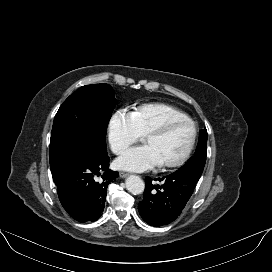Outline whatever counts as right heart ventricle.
I'll return each mask as SVG.
<instances>
[{
  "label": "right heart ventricle",
  "mask_w": 272,
  "mask_h": 272,
  "mask_svg": "<svg viewBox=\"0 0 272 272\" xmlns=\"http://www.w3.org/2000/svg\"><path fill=\"white\" fill-rule=\"evenodd\" d=\"M133 117L142 135L173 119H189L182 110L166 103H149L136 108Z\"/></svg>",
  "instance_id": "obj_1"
}]
</instances>
